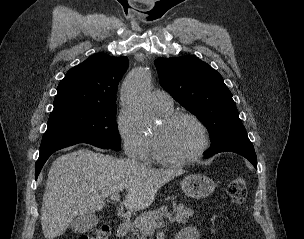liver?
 <instances>
[{"label":"liver","mask_w":304,"mask_h":239,"mask_svg":"<svg viewBox=\"0 0 304 239\" xmlns=\"http://www.w3.org/2000/svg\"><path fill=\"white\" fill-rule=\"evenodd\" d=\"M183 173L134 165L85 148L64 154L49 170L41 209L43 234L46 239L62 235L77 216L103 209L107 197L123 190L127 210L146 209L161 186Z\"/></svg>","instance_id":"obj_1"}]
</instances>
